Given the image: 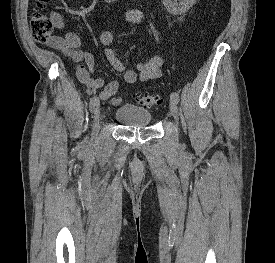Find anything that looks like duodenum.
Returning <instances> with one entry per match:
<instances>
[{"instance_id": "duodenum-1", "label": "duodenum", "mask_w": 275, "mask_h": 263, "mask_svg": "<svg viewBox=\"0 0 275 263\" xmlns=\"http://www.w3.org/2000/svg\"><path fill=\"white\" fill-rule=\"evenodd\" d=\"M116 1H118V0H105V2H107V3H114Z\"/></svg>"}]
</instances>
